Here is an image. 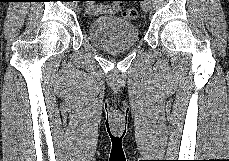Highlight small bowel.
Returning a JSON list of instances; mask_svg holds the SVG:
<instances>
[{"instance_id":"c3829d8e","label":"small bowel","mask_w":229,"mask_h":161,"mask_svg":"<svg viewBox=\"0 0 229 161\" xmlns=\"http://www.w3.org/2000/svg\"><path fill=\"white\" fill-rule=\"evenodd\" d=\"M120 9V4H118L117 2H115L114 4L104 7V8H97L94 6H90V11L91 12H99V11H106L108 13H116L118 12Z\"/></svg>"}]
</instances>
